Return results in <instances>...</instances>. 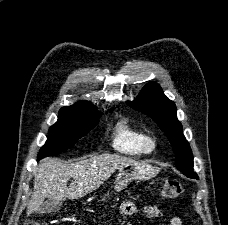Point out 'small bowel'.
Returning <instances> with one entry per match:
<instances>
[{"label": "small bowel", "mask_w": 228, "mask_h": 225, "mask_svg": "<svg viewBox=\"0 0 228 225\" xmlns=\"http://www.w3.org/2000/svg\"><path fill=\"white\" fill-rule=\"evenodd\" d=\"M122 213L124 216L129 217L132 216L136 213V206L132 201H124L122 204ZM143 214L146 218H154L157 217L160 214V210L158 207L154 206V205H148L146 207H144L143 209ZM170 225H182V220L177 217L174 216L170 219L169 222ZM127 225H131V223H128Z\"/></svg>", "instance_id": "obj_1"}]
</instances>
